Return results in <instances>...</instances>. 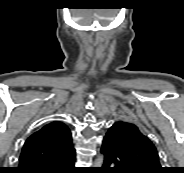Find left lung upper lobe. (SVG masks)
<instances>
[{"instance_id":"5c2ea615","label":"left lung upper lobe","mask_w":184,"mask_h":173,"mask_svg":"<svg viewBox=\"0 0 184 173\" xmlns=\"http://www.w3.org/2000/svg\"><path fill=\"white\" fill-rule=\"evenodd\" d=\"M105 138L135 173L163 172L155 146L136 125L117 121L109 128Z\"/></svg>"}]
</instances>
